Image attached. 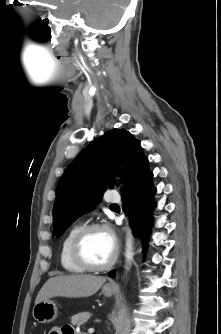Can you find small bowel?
I'll return each mask as SVG.
<instances>
[{
  "mask_svg": "<svg viewBox=\"0 0 221 334\" xmlns=\"http://www.w3.org/2000/svg\"><path fill=\"white\" fill-rule=\"evenodd\" d=\"M49 334H75L70 328L53 327Z\"/></svg>",
  "mask_w": 221,
  "mask_h": 334,
  "instance_id": "small-bowel-1",
  "label": "small bowel"
}]
</instances>
